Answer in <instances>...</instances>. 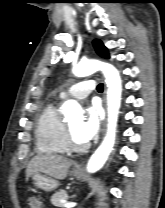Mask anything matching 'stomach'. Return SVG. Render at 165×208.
I'll return each instance as SVG.
<instances>
[{"label": "stomach", "mask_w": 165, "mask_h": 208, "mask_svg": "<svg viewBox=\"0 0 165 208\" xmlns=\"http://www.w3.org/2000/svg\"><path fill=\"white\" fill-rule=\"evenodd\" d=\"M71 174L74 177H76L77 179H80L83 176L82 171H80L78 169H72ZM30 176L33 181V184L37 188H39L45 192H51L58 187L57 182L54 179H52L51 177H48L46 175H42L40 173H33Z\"/></svg>", "instance_id": "obj_1"}]
</instances>
